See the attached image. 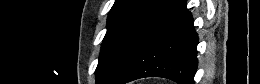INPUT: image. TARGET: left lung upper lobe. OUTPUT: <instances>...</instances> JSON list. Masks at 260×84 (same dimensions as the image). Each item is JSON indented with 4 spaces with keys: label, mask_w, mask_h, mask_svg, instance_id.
Listing matches in <instances>:
<instances>
[{
    "label": "left lung upper lobe",
    "mask_w": 260,
    "mask_h": 84,
    "mask_svg": "<svg viewBox=\"0 0 260 84\" xmlns=\"http://www.w3.org/2000/svg\"><path fill=\"white\" fill-rule=\"evenodd\" d=\"M160 0H116L107 21L96 68V84H103L121 51Z\"/></svg>",
    "instance_id": "obj_1"
}]
</instances>
